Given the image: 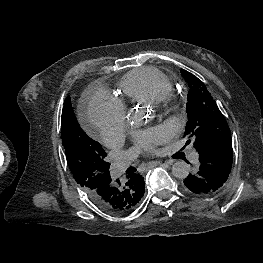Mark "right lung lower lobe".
<instances>
[{"mask_svg":"<svg viewBox=\"0 0 263 263\" xmlns=\"http://www.w3.org/2000/svg\"><path fill=\"white\" fill-rule=\"evenodd\" d=\"M126 183L112 182L111 177L106 183L95 189L93 192L88 193L89 199L97 205L99 208L115 213V211L126 203L128 199L129 185L132 183L140 184L144 183V179L139 174L128 175Z\"/></svg>","mask_w":263,"mask_h":263,"instance_id":"right-lung-lower-lobe-1","label":"right lung lower lobe"}]
</instances>
